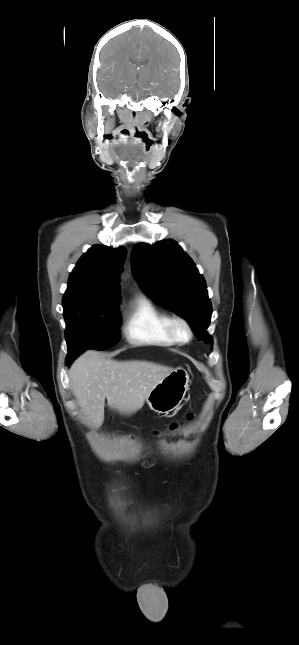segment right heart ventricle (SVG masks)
I'll list each match as a JSON object with an SVG mask.
<instances>
[{
    "instance_id": "right-heart-ventricle-1",
    "label": "right heart ventricle",
    "mask_w": 299,
    "mask_h": 645,
    "mask_svg": "<svg viewBox=\"0 0 299 645\" xmlns=\"http://www.w3.org/2000/svg\"><path fill=\"white\" fill-rule=\"evenodd\" d=\"M168 317L149 297L137 295L125 316L124 335L135 345L172 346L175 342L166 332Z\"/></svg>"
}]
</instances>
